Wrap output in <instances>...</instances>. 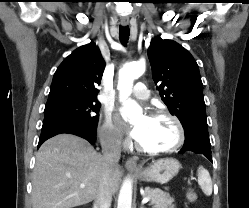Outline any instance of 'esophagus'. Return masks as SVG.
<instances>
[{
  "label": "esophagus",
  "instance_id": "obj_1",
  "mask_svg": "<svg viewBox=\"0 0 249 208\" xmlns=\"http://www.w3.org/2000/svg\"><path fill=\"white\" fill-rule=\"evenodd\" d=\"M120 23H121L122 26H127L129 24V20L128 19H121ZM125 166H126L127 169H130V170L139 169V167L137 165V161L133 157H130V158H128L126 160Z\"/></svg>",
  "mask_w": 249,
  "mask_h": 208
}]
</instances>
